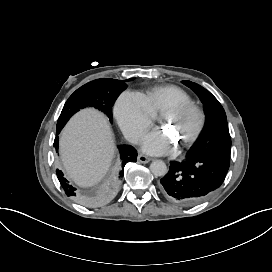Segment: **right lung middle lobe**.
Segmentation results:
<instances>
[{
	"mask_svg": "<svg viewBox=\"0 0 272 272\" xmlns=\"http://www.w3.org/2000/svg\"><path fill=\"white\" fill-rule=\"evenodd\" d=\"M126 87L124 81L116 79H97L83 85L65 103L56 129L63 128L73 114L89 106L103 111L112 122V106Z\"/></svg>",
	"mask_w": 272,
	"mask_h": 272,
	"instance_id": "right-lung-middle-lobe-1",
	"label": "right lung middle lobe"
}]
</instances>
